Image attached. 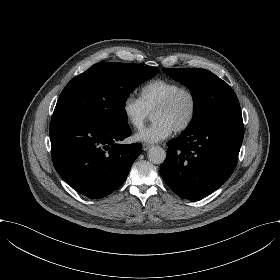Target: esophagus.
I'll return each instance as SVG.
<instances>
[{
	"label": "esophagus",
	"instance_id": "obj_1",
	"mask_svg": "<svg viewBox=\"0 0 280 280\" xmlns=\"http://www.w3.org/2000/svg\"><path fill=\"white\" fill-rule=\"evenodd\" d=\"M152 145L148 143H143V150L147 151Z\"/></svg>",
	"mask_w": 280,
	"mask_h": 280
}]
</instances>
